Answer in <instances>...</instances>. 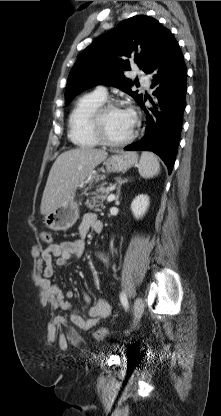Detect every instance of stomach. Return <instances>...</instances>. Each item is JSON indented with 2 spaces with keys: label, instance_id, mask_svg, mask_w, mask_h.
I'll use <instances>...</instances> for the list:
<instances>
[{
  "label": "stomach",
  "instance_id": "1",
  "mask_svg": "<svg viewBox=\"0 0 221 416\" xmlns=\"http://www.w3.org/2000/svg\"><path fill=\"white\" fill-rule=\"evenodd\" d=\"M138 162V154L136 152H120L112 155L104 161L107 172H123L131 168ZM90 179L81 183L85 185ZM79 218V205L74 200L72 194L70 198L62 205L57 207L51 213L45 216V225L54 231H67L71 228Z\"/></svg>",
  "mask_w": 221,
  "mask_h": 416
}]
</instances>
